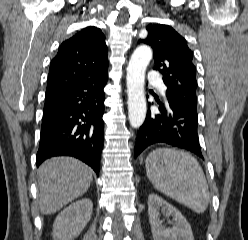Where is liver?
<instances>
[{
    "mask_svg": "<svg viewBox=\"0 0 248 240\" xmlns=\"http://www.w3.org/2000/svg\"><path fill=\"white\" fill-rule=\"evenodd\" d=\"M38 204L42 214H53L90 187L92 170L72 157L46 160L37 171Z\"/></svg>",
    "mask_w": 248,
    "mask_h": 240,
    "instance_id": "6515ba94",
    "label": "liver"
}]
</instances>
